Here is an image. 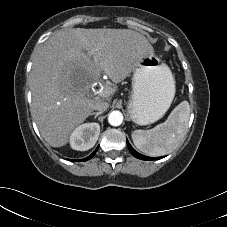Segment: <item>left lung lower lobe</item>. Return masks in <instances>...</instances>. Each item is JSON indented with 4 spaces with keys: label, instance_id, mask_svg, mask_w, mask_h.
Here are the masks:
<instances>
[{
    "label": "left lung lower lobe",
    "instance_id": "left-lung-lower-lobe-1",
    "mask_svg": "<svg viewBox=\"0 0 227 227\" xmlns=\"http://www.w3.org/2000/svg\"><path fill=\"white\" fill-rule=\"evenodd\" d=\"M127 146H128L129 151L131 152V154L133 156H135L136 158H138V159H141V160H156V159H159V158L147 157V156H144V155L138 153L137 151H135L132 148V146L130 145V143L128 142V140H127Z\"/></svg>",
    "mask_w": 227,
    "mask_h": 227
}]
</instances>
